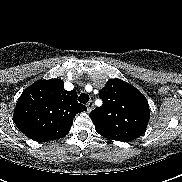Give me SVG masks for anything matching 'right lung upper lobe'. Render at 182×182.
<instances>
[{
	"label": "right lung upper lobe",
	"mask_w": 182,
	"mask_h": 182,
	"mask_svg": "<svg viewBox=\"0 0 182 182\" xmlns=\"http://www.w3.org/2000/svg\"><path fill=\"white\" fill-rule=\"evenodd\" d=\"M86 110L75 90L64 89L63 80H39L23 91L13 119L28 138L44 142L66 136L75 115Z\"/></svg>",
	"instance_id": "right-lung-upper-lobe-1"
}]
</instances>
